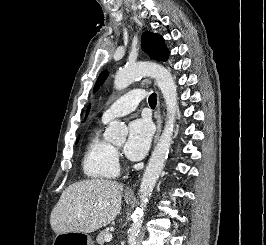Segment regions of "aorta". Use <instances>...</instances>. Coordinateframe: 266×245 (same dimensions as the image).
I'll list each match as a JSON object with an SVG mask.
<instances>
[{
	"label": "aorta",
	"mask_w": 266,
	"mask_h": 245,
	"mask_svg": "<svg viewBox=\"0 0 266 245\" xmlns=\"http://www.w3.org/2000/svg\"><path fill=\"white\" fill-rule=\"evenodd\" d=\"M154 76L155 82L160 88L166 104L167 116L164 131L151 155V159L143 173L139 189V207H136L132 215V223L128 229V245H136L137 237L140 233L144 211L148 205L149 197L164 169V163L168 159L169 149L173 137L174 123H176V114L178 110L177 84L172 76V72L162 66L152 62L149 66L143 64H129L121 68L115 74L114 88L122 90L127 88L131 82H135L137 76ZM127 129L119 120H113L104 133V139L111 141L114 145L125 143Z\"/></svg>",
	"instance_id": "1"
}]
</instances>
